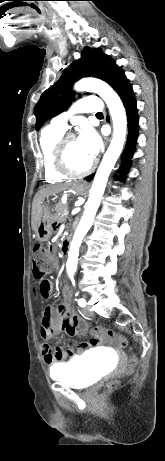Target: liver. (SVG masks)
<instances>
[{"label":"liver","instance_id":"liver-1","mask_svg":"<svg viewBox=\"0 0 165 461\" xmlns=\"http://www.w3.org/2000/svg\"><path fill=\"white\" fill-rule=\"evenodd\" d=\"M74 186L75 184L48 186L38 191L32 203L31 226H32L33 231H35L37 229V226L39 225V222L41 219L42 204H43L45 197L56 195L62 191L70 189V187L73 188Z\"/></svg>","mask_w":165,"mask_h":461}]
</instances>
